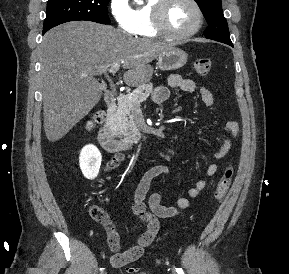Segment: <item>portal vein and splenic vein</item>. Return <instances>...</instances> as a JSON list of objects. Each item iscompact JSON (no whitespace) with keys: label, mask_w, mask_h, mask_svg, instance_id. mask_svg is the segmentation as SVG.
Here are the masks:
<instances>
[{"label":"portal vein and splenic vein","mask_w":289,"mask_h":274,"mask_svg":"<svg viewBox=\"0 0 289 274\" xmlns=\"http://www.w3.org/2000/svg\"><path fill=\"white\" fill-rule=\"evenodd\" d=\"M120 64L114 63L111 65L109 72L115 74L119 70Z\"/></svg>","instance_id":"1"}]
</instances>
